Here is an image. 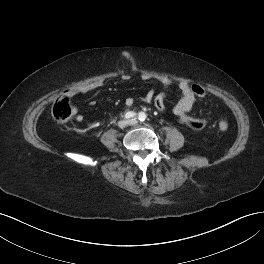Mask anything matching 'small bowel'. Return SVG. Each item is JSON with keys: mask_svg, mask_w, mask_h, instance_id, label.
Returning <instances> with one entry per match:
<instances>
[{"mask_svg": "<svg viewBox=\"0 0 264 264\" xmlns=\"http://www.w3.org/2000/svg\"><path fill=\"white\" fill-rule=\"evenodd\" d=\"M123 80H128L129 76L124 75ZM144 80H148L149 78L147 76L142 77ZM159 82L164 86V87H169L171 85V81L168 78L162 77L158 79ZM103 86L102 81H94L91 83H87L81 86H75L71 87L67 90L66 94L68 96H75L78 94H84L90 91H93L95 89H98ZM178 89L181 92V98L177 105L174 107L173 111L174 114L180 119L182 123H185L184 120L181 118L182 114H186L190 112L194 106L195 103V96L193 92L191 91L190 85L185 82H179L178 83ZM140 100L146 102V103H152L155 108L158 111H163L165 109V93L164 92H159L155 93L153 90H148L144 96L140 98ZM135 102V98H127L125 103L127 106H132ZM76 121L77 122H82L83 121V116L82 115H77L76 116Z\"/></svg>", "mask_w": 264, "mask_h": 264, "instance_id": "obj_1", "label": "small bowel"}]
</instances>
